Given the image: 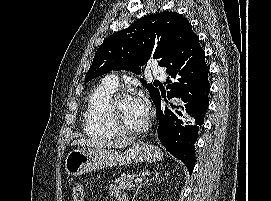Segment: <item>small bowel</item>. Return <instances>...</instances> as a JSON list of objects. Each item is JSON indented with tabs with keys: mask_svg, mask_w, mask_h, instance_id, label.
<instances>
[{
	"mask_svg": "<svg viewBox=\"0 0 271 201\" xmlns=\"http://www.w3.org/2000/svg\"><path fill=\"white\" fill-rule=\"evenodd\" d=\"M110 190H111L112 194H113L114 196H116V198H117V196H118L119 194L124 193V192L122 191V189H121L120 187H118L117 185H111ZM124 194H125V193H124Z\"/></svg>",
	"mask_w": 271,
	"mask_h": 201,
	"instance_id": "c3829d8e",
	"label": "small bowel"
}]
</instances>
